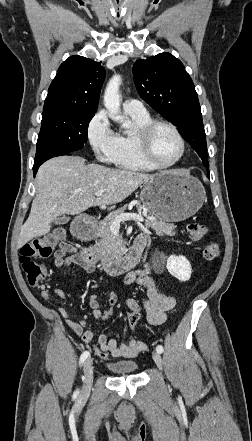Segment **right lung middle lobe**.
<instances>
[{"mask_svg": "<svg viewBox=\"0 0 252 441\" xmlns=\"http://www.w3.org/2000/svg\"><path fill=\"white\" fill-rule=\"evenodd\" d=\"M95 112L43 110L34 164L82 149Z\"/></svg>", "mask_w": 252, "mask_h": 441, "instance_id": "right-lung-middle-lobe-1", "label": "right lung middle lobe"}]
</instances>
